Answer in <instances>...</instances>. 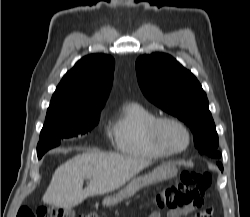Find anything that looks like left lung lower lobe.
<instances>
[{
	"instance_id": "1",
	"label": "left lung lower lobe",
	"mask_w": 250,
	"mask_h": 217,
	"mask_svg": "<svg viewBox=\"0 0 250 217\" xmlns=\"http://www.w3.org/2000/svg\"><path fill=\"white\" fill-rule=\"evenodd\" d=\"M218 166H219V168H220L221 170H223V166H222L221 163H218Z\"/></svg>"
}]
</instances>
